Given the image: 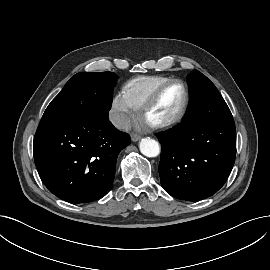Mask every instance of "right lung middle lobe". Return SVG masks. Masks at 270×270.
<instances>
[{
    "mask_svg": "<svg viewBox=\"0 0 270 270\" xmlns=\"http://www.w3.org/2000/svg\"><path fill=\"white\" fill-rule=\"evenodd\" d=\"M117 78L112 72L75 74L48 105L42 119L81 118L109 112Z\"/></svg>",
    "mask_w": 270,
    "mask_h": 270,
    "instance_id": "right-lung-middle-lobe-1",
    "label": "right lung middle lobe"
}]
</instances>
